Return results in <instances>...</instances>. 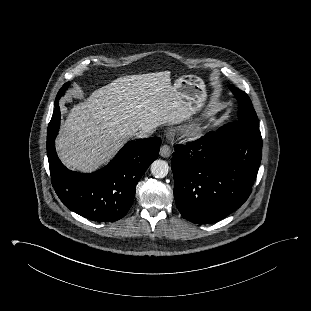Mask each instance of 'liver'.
Wrapping results in <instances>:
<instances>
[{
  "instance_id": "obj_1",
  "label": "liver",
  "mask_w": 311,
  "mask_h": 311,
  "mask_svg": "<svg viewBox=\"0 0 311 311\" xmlns=\"http://www.w3.org/2000/svg\"><path fill=\"white\" fill-rule=\"evenodd\" d=\"M170 75L163 71L119 77L74 105L56 140L63 164L91 172L135 132L188 119L193 108L181 99Z\"/></svg>"
}]
</instances>
